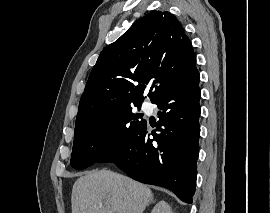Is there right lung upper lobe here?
Returning a JSON list of instances; mask_svg holds the SVG:
<instances>
[{
    "instance_id": "right-lung-upper-lobe-1",
    "label": "right lung upper lobe",
    "mask_w": 270,
    "mask_h": 213,
    "mask_svg": "<svg viewBox=\"0 0 270 213\" xmlns=\"http://www.w3.org/2000/svg\"><path fill=\"white\" fill-rule=\"evenodd\" d=\"M195 62L191 42L176 17L151 11L100 53L80 99L76 123L142 103L148 83H152L148 96L153 101L182 80Z\"/></svg>"
}]
</instances>
